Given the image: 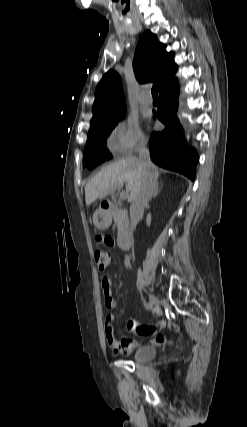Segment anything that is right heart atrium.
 <instances>
[{"mask_svg": "<svg viewBox=\"0 0 247 427\" xmlns=\"http://www.w3.org/2000/svg\"><path fill=\"white\" fill-rule=\"evenodd\" d=\"M146 143L142 129L132 119L116 123L107 136L108 148L120 155H129L144 147Z\"/></svg>", "mask_w": 247, "mask_h": 427, "instance_id": "1", "label": "right heart atrium"}]
</instances>
